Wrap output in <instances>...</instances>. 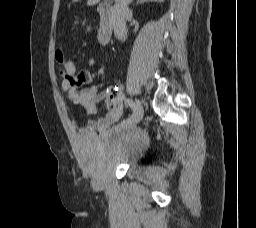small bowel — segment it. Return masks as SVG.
Segmentation results:
<instances>
[{"mask_svg":"<svg viewBox=\"0 0 256 228\" xmlns=\"http://www.w3.org/2000/svg\"><path fill=\"white\" fill-rule=\"evenodd\" d=\"M93 64V59H89L87 61L89 68L83 69L76 74V65L74 62L67 60L66 63L62 65L60 72L62 75V88L66 91L73 102L80 104L84 108L85 113L88 115L95 114L97 112L98 102L107 97L109 93L115 92L116 94L115 110L111 111L103 118L88 121L86 126L80 131L82 135L94 132H105L109 126L118 122L122 118L124 112L120 90L107 88L106 90L101 91L97 86L87 88L82 87L83 85L93 81V74L91 71Z\"/></svg>","mask_w":256,"mask_h":228,"instance_id":"1","label":"small bowel"}]
</instances>
